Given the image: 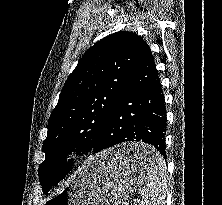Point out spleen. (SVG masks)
I'll return each instance as SVG.
<instances>
[{
  "label": "spleen",
  "instance_id": "obj_1",
  "mask_svg": "<svg viewBox=\"0 0 222 205\" xmlns=\"http://www.w3.org/2000/svg\"><path fill=\"white\" fill-rule=\"evenodd\" d=\"M166 193V163L156 154L150 163L148 177L141 190V205H165Z\"/></svg>",
  "mask_w": 222,
  "mask_h": 205
}]
</instances>
